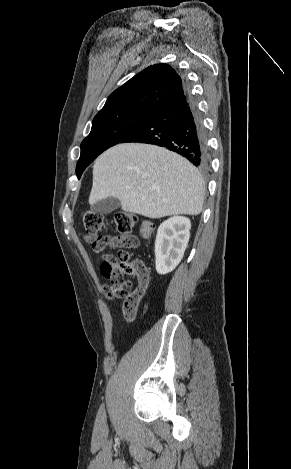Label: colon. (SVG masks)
Returning <instances> with one entry per match:
<instances>
[{
    "instance_id": "1",
    "label": "colon",
    "mask_w": 291,
    "mask_h": 469,
    "mask_svg": "<svg viewBox=\"0 0 291 469\" xmlns=\"http://www.w3.org/2000/svg\"><path fill=\"white\" fill-rule=\"evenodd\" d=\"M83 224L88 239L92 241L94 250L102 253L106 246L117 245L124 248L135 246L131 232L138 225L139 218L130 212H118L114 217L115 234H104L106 229L105 217L95 211L87 210L82 213ZM154 225L149 220L140 223V235L149 238L153 234ZM103 275L112 286L104 285L103 291L109 298L124 299L123 314L126 320L132 321L137 313L139 303L143 297L144 289L139 285L133 287L134 279L140 280L146 277L145 266L132 258L131 253L122 249L116 257L103 256L101 261Z\"/></svg>"
}]
</instances>
